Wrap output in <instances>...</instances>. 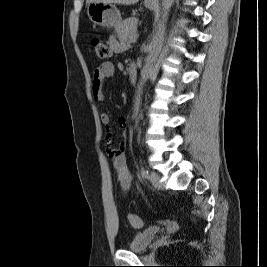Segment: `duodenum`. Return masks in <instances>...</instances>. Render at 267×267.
<instances>
[{"mask_svg": "<svg viewBox=\"0 0 267 267\" xmlns=\"http://www.w3.org/2000/svg\"><path fill=\"white\" fill-rule=\"evenodd\" d=\"M128 75L131 82H135L138 76V69L135 63H131L128 68Z\"/></svg>", "mask_w": 267, "mask_h": 267, "instance_id": "1", "label": "duodenum"}]
</instances>
